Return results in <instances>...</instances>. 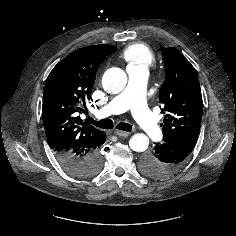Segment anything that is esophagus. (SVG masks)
Listing matches in <instances>:
<instances>
[{"label": "esophagus", "mask_w": 236, "mask_h": 236, "mask_svg": "<svg viewBox=\"0 0 236 236\" xmlns=\"http://www.w3.org/2000/svg\"><path fill=\"white\" fill-rule=\"evenodd\" d=\"M115 134L118 135V136H120V137H127V136L130 135L129 132L121 131V130H116V131H115Z\"/></svg>", "instance_id": "esophagus-1"}]
</instances>
